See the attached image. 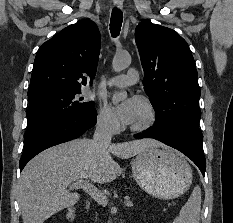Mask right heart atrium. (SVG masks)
<instances>
[{
    "mask_svg": "<svg viewBox=\"0 0 233 223\" xmlns=\"http://www.w3.org/2000/svg\"><path fill=\"white\" fill-rule=\"evenodd\" d=\"M97 126L100 130L110 134H115L120 129L118 119L107 105H102L100 107L97 116Z\"/></svg>",
    "mask_w": 233,
    "mask_h": 223,
    "instance_id": "obj_1",
    "label": "right heart atrium"
}]
</instances>
